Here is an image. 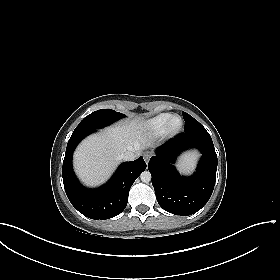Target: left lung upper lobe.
Returning a JSON list of instances; mask_svg holds the SVG:
<instances>
[{
  "mask_svg": "<svg viewBox=\"0 0 280 280\" xmlns=\"http://www.w3.org/2000/svg\"><path fill=\"white\" fill-rule=\"evenodd\" d=\"M183 118L185 121L184 132H197V131H206V129L192 116L186 112H182Z\"/></svg>",
  "mask_w": 280,
  "mask_h": 280,
  "instance_id": "left-lung-upper-lobe-1",
  "label": "left lung upper lobe"
}]
</instances>
